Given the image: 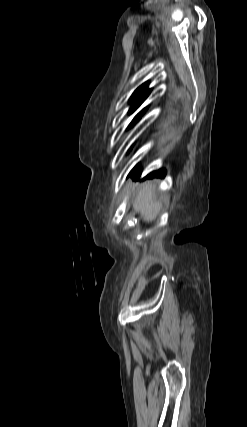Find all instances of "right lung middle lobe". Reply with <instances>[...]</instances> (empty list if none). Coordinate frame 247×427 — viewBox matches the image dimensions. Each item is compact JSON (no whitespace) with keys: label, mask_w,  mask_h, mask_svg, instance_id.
Returning a JSON list of instances; mask_svg holds the SVG:
<instances>
[{"label":"right lung middle lobe","mask_w":247,"mask_h":427,"mask_svg":"<svg viewBox=\"0 0 247 427\" xmlns=\"http://www.w3.org/2000/svg\"><path fill=\"white\" fill-rule=\"evenodd\" d=\"M142 114H138L133 121L131 122L129 127H132L140 118H141Z\"/></svg>","instance_id":"dd1d6c3e"}]
</instances>
